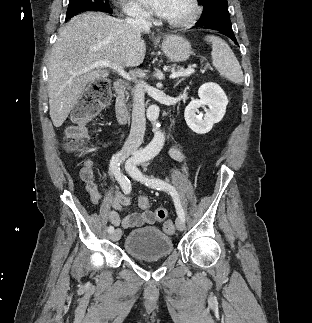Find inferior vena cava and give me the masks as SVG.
<instances>
[{
  "instance_id": "602c4592",
  "label": "inferior vena cava",
  "mask_w": 312,
  "mask_h": 323,
  "mask_svg": "<svg viewBox=\"0 0 312 323\" xmlns=\"http://www.w3.org/2000/svg\"><path fill=\"white\" fill-rule=\"evenodd\" d=\"M129 18L124 20L127 26H130L133 30L134 36L141 40V32L150 30L151 22L148 20V14L143 12L141 8H134ZM145 82H137L133 90V108H132V124L130 134L124 144L125 148H138L142 144V140L145 134V108H144V96H145Z\"/></svg>"
}]
</instances>
